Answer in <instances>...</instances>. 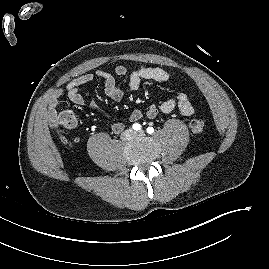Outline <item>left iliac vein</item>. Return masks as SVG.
Returning a JSON list of instances; mask_svg holds the SVG:
<instances>
[{
	"mask_svg": "<svg viewBox=\"0 0 269 269\" xmlns=\"http://www.w3.org/2000/svg\"><path fill=\"white\" fill-rule=\"evenodd\" d=\"M144 135V131H139L137 133H135V136H143Z\"/></svg>",
	"mask_w": 269,
	"mask_h": 269,
	"instance_id": "left-iliac-vein-1",
	"label": "left iliac vein"
}]
</instances>
